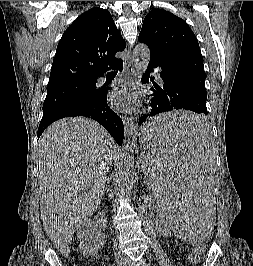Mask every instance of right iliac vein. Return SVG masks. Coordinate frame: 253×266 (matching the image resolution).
Returning <instances> with one entry per match:
<instances>
[{"label":"right iliac vein","instance_id":"1","mask_svg":"<svg viewBox=\"0 0 253 266\" xmlns=\"http://www.w3.org/2000/svg\"><path fill=\"white\" fill-rule=\"evenodd\" d=\"M125 264V258L123 256H116L113 266H123Z\"/></svg>","mask_w":253,"mask_h":266}]
</instances>
